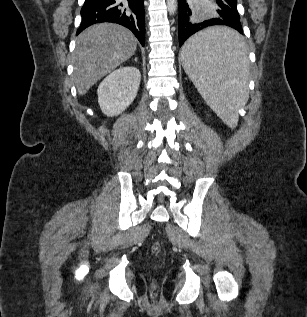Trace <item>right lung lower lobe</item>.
<instances>
[{
  "instance_id": "obj_1",
  "label": "right lung lower lobe",
  "mask_w": 307,
  "mask_h": 317,
  "mask_svg": "<svg viewBox=\"0 0 307 317\" xmlns=\"http://www.w3.org/2000/svg\"><path fill=\"white\" fill-rule=\"evenodd\" d=\"M81 17L77 35L90 25L113 22L130 29L142 46L145 44L143 0H85Z\"/></svg>"
}]
</instances>
